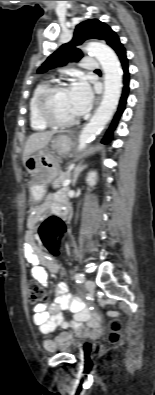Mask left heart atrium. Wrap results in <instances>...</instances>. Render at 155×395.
<instances>
[{"instance_id":"1","label":"left heart atrium","mask_w":155,"mask_h":395,"mask_svg":"<svg viewBox=\"0 0 155 395\" xmlns=\"http://www.w3.org/2000/svg\"><path fill=\"white\" fill-rule=\"evenodd\" d=\"M69 96L76 116L82 115L90 109L92 91L84 79H78L71 85Z\"/></svg>"}]
</instances>
